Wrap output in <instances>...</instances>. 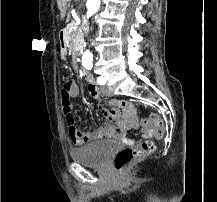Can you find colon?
Wrapping results in <instances>:
<instances>
[{
    "mask_svg": "<svg viewBox=\"0 0 217 202\" xmlns=\"http://www.w3.org/2000/svg\"><path fill=\"white\" fill-rule=\"evenodd\" d=\"M56 96H60L61 98L62 110L68 131H75L74 118L71 111V84L68 82L63 83L60 91H56ZM150 116L153 117L152 122L156 124V138H163V134L165 133L163 120H160L156 113H152ZM148 120L147 118H140L139 121L144 126H152V122ZM154 148L152 140H145L137 147L127 146L120 150L113 158L115 168L120 170L119 177H126L125 168L135 160L150 155L154 151Z\"/></svg>",
    "mask_w": 217,
    "mask_h": 202,
    "instance_id": "1",
    "label": "colon"
}]
</instances>
